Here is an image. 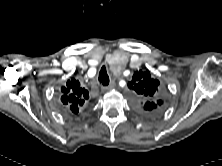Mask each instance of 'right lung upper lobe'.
<instances>
[{"label":"right lung upper lobe","mask_w":222,"mask_h":166,"mask_svg":"<svg viewBox=\"0 0 222 166\" xmlns=\"http://www.w3.org/2000/svg\"><path fill=\"white\" fill-rule=\"evenodd\" d=\"M79 86L80 83L77 80L72 79L67 82V87L62 88V91L66 94L62 96V100H65L66 104H68L69 101L71 108L77 109L78 111V104L84 102L83 98H80L83 91ZM85 94H87V91H85L84 96Z\"/></svg>","instance_id":"right-lung-upper-lobe-1"}]
</instances>
